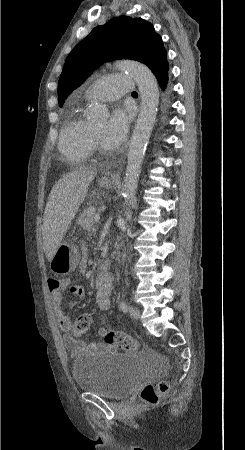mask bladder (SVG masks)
Returning <instances> with one entry per match:
<instances>
[{
	"label": "bladder",
	"mask_w": 245,
	"mask_h": 450,
	"mask_svg": "<svg viewBox=\"0 0 245 450\" xmlns=\"http://www.w3.org/2000/svg\"><path fill=\"white\" fill-rule=\"evenodd\" d=\"M72 374L78 390L115 400L129 395L144 379L142 365L124 353H85L74 362Z\"/></svg>",
	"instance_id": "1"
}]
</instances>
